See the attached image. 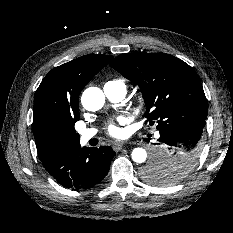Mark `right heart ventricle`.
<instances>
[{"label": "right heart ventricle", "mask_w": 233, "mask_h": 233, "mask_svg": "<svg viewBox=\"0 0 233 233\" xmlns=\"http://www.w3.org/2000/svg\"><path fill=\"white\" fill-rule=\"evenodd\" d=\"M105 85H109L112 87H117V86L125 87V83L121 79H113L111 81H108Z\"/></svg>", "instance_id": "obj_1"}]
</instances>
